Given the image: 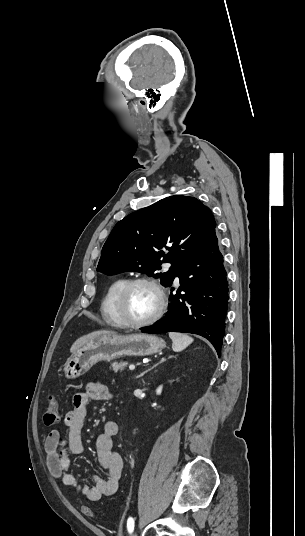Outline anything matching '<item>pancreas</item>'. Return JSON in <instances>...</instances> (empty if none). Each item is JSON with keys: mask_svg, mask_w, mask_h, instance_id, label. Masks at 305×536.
I'll use <instances>...</instances> for the list:
<instances>
[{"mask_svg": "<svg viewBox=\"0 0 305 536\" xmlns=\"http://www.w3.org/2000/svg\"><path fill=\"white\" fill-rule=\"evenodd\" d=\"M126 366L127 362H120V364H118V362H114L110 370H114L115 374H117V372H122V370H125Z\"/></svg>", "mask_w": 305, "mask_h": 536, "instance_id": "obj_1", "label": "pancreas"}]
</instances>
